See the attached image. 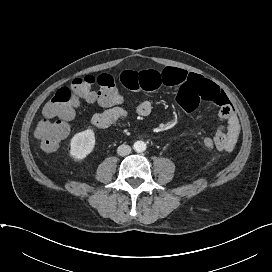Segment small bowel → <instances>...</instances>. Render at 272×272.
Here are the masks:
<instances>
[{"label":"small bowel","instance_id":"c3829d8e","mask_svg":"<svg viewBox=\"0 0 272 272\" xmlns=\"http://www.w3.org/2000/svg\"><path fill=\"white\" fill-rule=\"evenodd\" d=\"M120 83L132 91H154L161 87H178L177 101L185 113L193 112L201 102H210L218 107L221 125L212 138L214 147L220 151L232 152L240 135L238 115L219 86L206 78L178 68L163 70H127L121 73ZM153 106L143 101L136 107L141 117L151 114ZM127 115V110L116 105L94 114L92 124L99 129H107Z\"/></svg>","mask_w":272,"mask_h":272}]
</instances>
